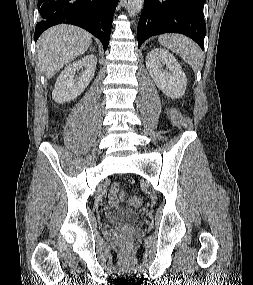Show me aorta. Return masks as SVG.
Listing matches in <instances>:
<instances>
[{
    "label": "aorta",
    "instance_id": "aorta-1",
    "mask_svg": "<svg viewBox=\"0 0 253 285\" xmlns=\"http://www.w3.org/2000/svg\"><path fill=\"white\" fill-rule=\"evenodd\" d=\"M144 0H128L127 12L130 17L136 16L143 8Z\"/></svg>",
    "mask_w": 253,
    "mask_h": 285
}]
</instances>
